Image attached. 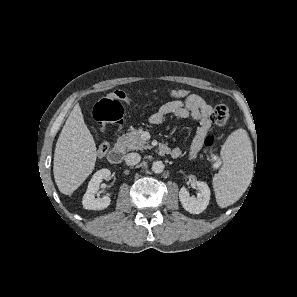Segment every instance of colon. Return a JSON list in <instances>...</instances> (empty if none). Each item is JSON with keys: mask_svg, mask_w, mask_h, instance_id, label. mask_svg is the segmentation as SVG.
Masks as SVG:
<instances>
[{"mask_svg": "<svg viewBox=\"0 0 297 297\" xmlns=\"http://www.w3.org/2000/svg\"><path fill=\"white\" fill-rule=\"evenodd\" d=\"M190 94L187 89H175L170 92V97L173 99H184ZM122 102H129V98L122 91H115L108 96L102 98L94 107V118L101 132H106L109 125L119 126L123 121ZM230 119L229 108L224 104H218L214 107L211 114V121L218 126L228 123ZM214 142V137L206 138V146H211ZM110 149V143L103 140L98 147L97 154L99 157L105 156Z\"/></svg>", "mask_w": 297, "mask_h": 297, "instance_id": "1", "label": "colon"}]
</instances>
